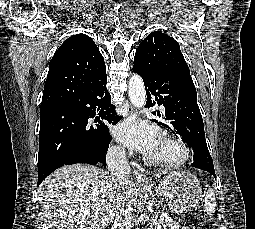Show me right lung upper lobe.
I'll list each match as a JSON object with an SVG mask.
<instances>
[{"instance_id": "right-lung-upper-lobe-1", "label": "right lung upper lobe", "mask_w": 255, "mask_h": 229, "mask_svg": "<svg viewBox=\"0 0 255 229\" xmlns=\"http://www.w3.org/2000/svg\"><path fill=\"white\" fill-rule=\"evenodd\" d=\"M105 69L103 56L90 37L85 34L71 36L49 63L40 111L73 102Z\"/></svg>"}]
</instances>
